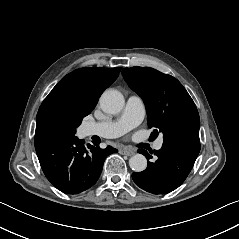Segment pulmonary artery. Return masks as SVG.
<instances>
[{"instance_id":"pulmonary-artery-1","label":"pulmonary artery","mask_w":239,"mask_h":239,"mask_svg":"<svg viewBox=\"0 0 239 239\" xmlns=\"http://www.w3.org/2000/svg\"><path fill=\"white\" fill-rule=\"evenodd\" d=\"M145 108L142 98L136 94L128 96L121 116L116 120L93 121L85 124V135H98L103 138H117L137 127L144 119ZM162 138L155 143V149H161Z\"/></svg>"}]
</instances>
